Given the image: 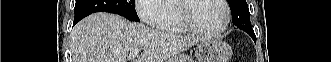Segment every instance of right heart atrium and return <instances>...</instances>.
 Masks as SVG:
<instances>
[{"instance_id": "d8ad5b80", "label": "right heart atrium", "mask_w": 331, "mask_h": 62, "mask_svg": "<svg viewBox=\"0 0 331 62\" xmlns=\"http://www.w3.org/2000/svg\"><path fill=\"white\" fill-rule=\"evenodd\" d=\"M167 2L164 0H137L135 9L144 23L160 28L167 19L163 6Z\"/></svg>"}]
</instances>
